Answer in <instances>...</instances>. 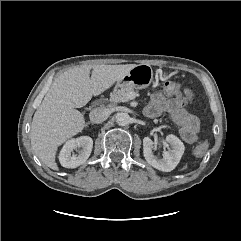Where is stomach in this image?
Here are the masks:
<instances>
[{
	"mask_svg": "<svg viewBox=\"0 0 241 241\" xmlns=\"http://www.w3.org/2000/svg\"><path fill=\"white\" fill-rule=\"evenodd\" d=\"M153 81V70L148 64H139L133 67L116 83L117 87L132 86L136 89L147 88Z\"/></svg>",
	"mask_w": 241,
	"mask_h": 241,
	"instance_id": "obj_1",
	"label": "stomach"
}]
</instances>
